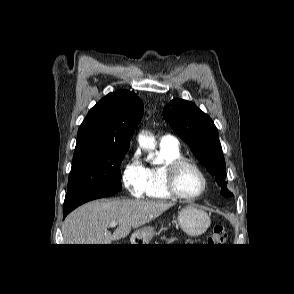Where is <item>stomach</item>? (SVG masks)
Masks as SVG:
<instances>
[{
	"label": "stomach",
	"instance_id": "stomach-1",
	"mask_svg": "<svg viewBox=\"0 0 294 294\" xmlns=\"http://www.w3.org/2000/svg\"><path fill=\"white\" fill-rule=\"evenodd\" d=\"M178 222L181 229L189 236L196 237L202 235L210 226L208 214L193 206H187L178 213ZM154 234L152 227H143L136 231L134 239L143 244L147 242ZM137 244V243H132Z\"/></svg>",
	"mask_w": 294,
	"mask_h": 294
}]
</instances>
